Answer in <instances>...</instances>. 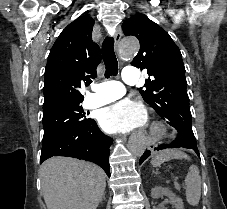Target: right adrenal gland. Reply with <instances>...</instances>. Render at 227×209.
Wrapping results in <instances>:
<instances>
[{"instance_id": "2a0ac1e0", "label": "right adrenal gland", "mask_w": 227, "mask_h": 209, "mask_svg": "<svg viewBox=\"0 0 227 209\" xmlns=\"http://www.w3.org/2000/svg\"><path fill=\"white\" fill-rule=\"evenodd\" d=\"M103 199H105V197H102V199H101L100 203H102Z\"/></svg>"}]
</instances>
